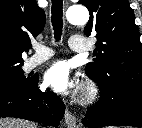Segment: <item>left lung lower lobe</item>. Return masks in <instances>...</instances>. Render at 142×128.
Here are the masks:
<instances>
[{
	"label": "left lung lower lobe",
	"instance_id": "left-lung-lower-lobe-1",
	"mask_svg": "<svg viewBox=\"0 0 142 128\" xmlns=\"http://www.w3.org/2000/svg\"><path fill=\"white\" fill-rule=\"evenodd\" d=\"M100 100L91 106L82 120L88 128L107 126L142 127V90L100 91Z\"/></svg>",
	"mask_w": 142,
	"mask_h": 128
}]
</instances>
